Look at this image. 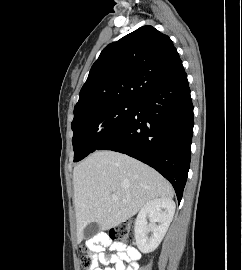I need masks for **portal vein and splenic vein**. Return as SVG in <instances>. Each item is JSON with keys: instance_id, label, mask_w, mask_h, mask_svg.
I'll list each match as a JSON object with an SVG mask.
<instances>
[{"instance_id": "portal-vein-and-splenic-vein-1", "label": "portal vein and splenic vein", "mask_w": 242, "mask_h": 270, "mask_svg": "<svg viewBox=\"0 0 242 270\" xmlns=\"http://www.w3.org/2000/svg\"><path fill=\"white\" fill-rule=\"evenodd\" d=\"M112 198L115 200L118 199V197L116 195H112Z\"/></svg>"}]
</instances>
